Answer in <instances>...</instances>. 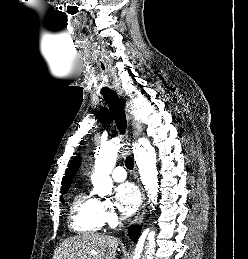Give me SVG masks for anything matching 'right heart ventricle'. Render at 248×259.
Returning a JSON list of instances; mask_svg holds the SVG:
<instances>
[{
	"instance_id": "obj_1",
	"label": "right heart ventricle",
	"mask_w": 248,
	"mask_h": 259,
	"mask_svg": "<svg viewBox=\"0 0 248 259\" xmlns=\"http://www.w3.org/2000/svg\"><path fill=\"white\" fill-rule=\"evenodd\" d=\"M69 225L74 231L93 233L103 225L100 213V200L78 191L70 205Z\"/></svg>"
}]
</instances>
